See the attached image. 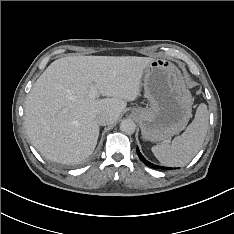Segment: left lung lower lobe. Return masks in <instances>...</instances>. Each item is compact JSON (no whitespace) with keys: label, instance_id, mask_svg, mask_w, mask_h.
Listing matches in <instances>:
<instances>
[{"label":"left lung lower lobe","instance_id":"left-lung-lower-lobe-1","mask_svg":"<svg viewBox=\"0 0 234 234\" xmlns=\"http://www.w3.org/2000/svg\"><path fill=\"white\" fill-rule=\"evenodd\" d=\"M136 151H137V154H138L139 158L142 160V162H143L145 165H147V166H149V167H151V168H154V169H171V168H168V167L158 166V165H154V164L150 163L149 161H147V160L143 157V155L140 153L138 147H137Z\"/></svg>","mask_w":234,"mask_h":234}]
</instances>
